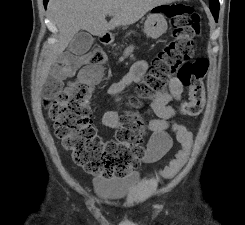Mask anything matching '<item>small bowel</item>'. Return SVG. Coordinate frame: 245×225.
Instances as JSON below:
<instances>
[{
    "label": "small bowel",
    "instance_id": "small-bowel-1",
    "mask_svg": "<svg viewBox=\"0 0 245 225\" xmlns=\"http://www.w3.org/2000/svg\"><path fill=\"white\" fill-rule=\"evenodd\" d=\"M148 68L146 60L136 62L129 72L125 73L121 79L112 83L108 88V94L112 97L114 105L120 101L121 92L129 85L140 81ZM98 72V76L96 75ZM100 66H91L85 70L90 74L89 81L95 84L97 78L101 75ZM184 91V85L178 77L171 78L169 82V90L161 93L153 101L151 110L154 118L147 121V128L151 135L148 139L144 154L137 157V165L152 164L160 160L172 146L173 140L170 133L175 135L176 140L183 146V134L190 137L191 133L181 126H178L174 120L178 115L175 106L171 104L173 101H179ZM102 123L109 129L117 130L121 127V119L118 113L113 109H108L102 116Z\"/></svg>",
    "mask_w": 245,
    "mask_h": 225
}]
</instances>
